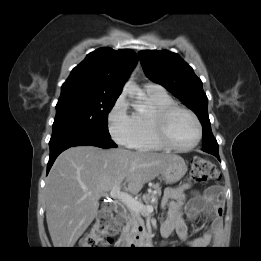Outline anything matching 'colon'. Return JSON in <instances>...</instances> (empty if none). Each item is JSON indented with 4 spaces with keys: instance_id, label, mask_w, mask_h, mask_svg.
<instances>
[{
    "instance_id": "obj_1",
    "label": "colon",
    "mask_w": 261,
    "mask_h": 261,
    "mask_svg": "<svg viewBox=\"0 0 261 261\" xmlns=\"http://www.w3.org/2000/svg\"><path fill=\"white\" fill-rule=\"evenodd\" d=\"M219 172L216 167L204 157H195L192 162V171L190 179L195 183H204L212 179H216ZM113 218V209L110 204H104L96 216L89 232L81 241V247L90 249L99 244L105 235L107 225Z\"/></svg>"
}]
</instances>
